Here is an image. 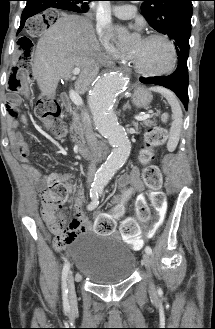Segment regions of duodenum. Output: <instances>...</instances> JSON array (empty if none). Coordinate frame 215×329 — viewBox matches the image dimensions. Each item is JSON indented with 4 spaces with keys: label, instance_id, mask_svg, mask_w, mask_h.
Masks as SVG:
<instances>
[{
    "label": "duodenum",
    "instance_id": "1",
    "mask_svg": "<svg viewBox=\"0 0 215 329\" xmlns=\"http://www.w3.org/2000/svg\"><path fill=\"white\" fill-rule=\"evenodd\" d=\"M60 103L64 108H69V106H70L69 95L66 94V93H63L60 97ZM78 153L81 157H83L85 159H91L92 158V152L86 146L80 145L78 147Z\"/></svg>",
    "mask_w": 215,
    "mask_h": 329
}]
</instances>
